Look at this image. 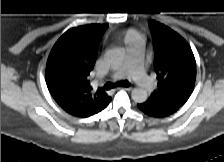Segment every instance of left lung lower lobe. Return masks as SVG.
Wrapping results in <instances>:
<instances>
[{
    "instance_id": "obj_1",
    "label": "left lung lower lobe",
    "mask_w": 224,
    "mask_h": 162,
    "mask_svg": "<svg viewBox=\"0 0 224 162\" xmlns=\"http://www.w3.org/2000/svg\"><path fill=\"white\" fill-rule=\"evenodd\" d=\"M138 107L145 114L153 117H165L176 112L179 109V107L174 106H159L147 103L138 104Z\"/></svg>"
}]
</instances>
